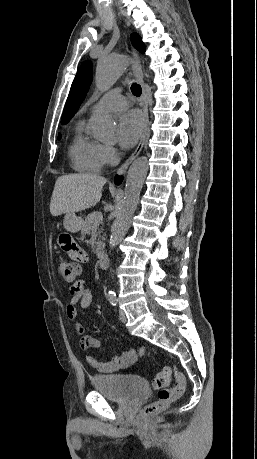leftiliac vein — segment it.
<instances>
[{
	"label": "left iliac vein",
	"mask_w": 257,
	"mask_h": 459,
	"mask_svg": "<svg viewBox=\"0 0 257 459\" xmlns=\"http://www.w3.org/2000/svg\"><path fill=\"white\" fill-rule=\"evenodd\" d=\"M119 315H120V321L125 323L127 321V318H126L125 312L122 309L119 310Z\"/></svg>",
	"instance_id": "obj_1"
}]
</instances>
